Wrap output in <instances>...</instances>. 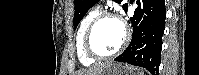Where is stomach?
Returning <instances> with one entry per match:
<instances>
[{
	"label": "stomach",
	"instance_id": "1",
	"mask_svg": "<svg viewBox=\"0 0 199 75\" xmlns=\"http://www.w3.org/2000/svg\"><path fill=\"white\" fill-rule=\"evenodd\" d=\"M100 75H143V71L121 63H112Z\"/></svg>",
	"mask_w": 199,
	"mask_h": 75
}]
</instances>
